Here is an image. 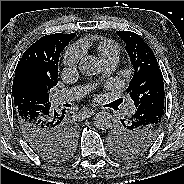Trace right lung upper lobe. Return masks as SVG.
Listing matches in <instances>:
<instances>
[{"label": "right lung upper lobe", "mask_w": 184, "mask_h": 184, "mask_svg": "<svg viewBox=\"0 0 184 184\" xmlns=\"http://www.w3.org/2000/svg\"><path fill=\"white\" fill-rule=\"evenodd\" d=\"M75 37V33H55L41 37L23 54L15 70L12 86L14 103L24 90H31L39 100L49 101V91L58 82V61L61 51Z\"/></svg>", "instance_id": "cb5924a9"}]
</instances>
